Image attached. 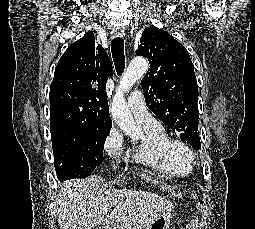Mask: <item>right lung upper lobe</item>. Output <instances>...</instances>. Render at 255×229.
<instances>
[{"mask_svg": "<svg viewBox=\"0 0 255 229\" xmlns=\"http://www.w3.org/2000/svg\"><path fill=\"white\" fill-rule=\"evenodd\" d=\"M113 75L104 48L92 32L72 43L60 58L50 86L51 128L111 129L106 82Z\"/></svg>", "mask_w": 255, "mask_h": 229, "instance_id": "obj_1", "label": "right lung upper lobe"}]
</instances>
